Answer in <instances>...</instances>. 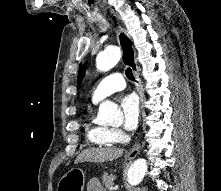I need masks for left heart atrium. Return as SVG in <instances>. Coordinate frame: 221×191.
Segmentation results:
<instances>
[{"label":"left heart atrium","instance_id":"left-heart-atrium-1","mask_svg":"<svg viewBox=\"0 0 221 191\" xmlns=\"http://www.w3.org/2000/svg\"><path fill=\"white\" fill-rule=\"evenodd\" d=\"M121 109L123 113V125L128 131H134L139 121V100L136 95L129 94L122 98Z\"/></svg>","mask_w":221,"mask_h":191}]
</instances>
